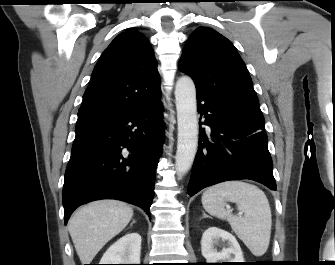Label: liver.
<instances>
[{
  "mask_svg": "<svg viewBox=\"0 0 335 265\" xmlns=\"http://www.w3.org/2000/svg\"><path fill=\"white\" fill-rule=\"evenodd\" d=\"M133 217V209L118 200H98L78 209L68 230L82 264H90L102 247Z\"/></svg>",
  "mask_w": 335,
  "mask_h": 265,
  "instance_id": "6515ba94",
  "label": "liver"
}]
</instances>
